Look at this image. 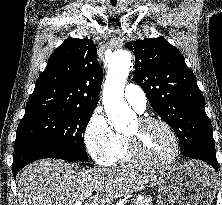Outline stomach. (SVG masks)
Instances as JSON below:
<instances>
[{"label":"stomach","instance_id":"0dacf381","mask_svg":"<svg viewBox=\"0 0 222 205\" xmlns=\"http://www.w3.org/2000/svg\"><path fill=\"white\" fill-rule=\"evenodd\" d=\"M156 184L158 205H211L216 190L211 169L198 162L162 171Z\"/></svg>","mask_w":222,"mask_h":205}]
</instances>
